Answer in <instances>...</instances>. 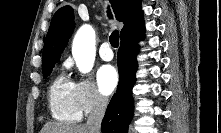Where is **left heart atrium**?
<instances>
[{
  "mask_svg": "<svg viewBox=\"0 0 221 133\" xmlns=\"http://www.w3.org/2000/svg\"><path fill=\"white\" fill-rule=\"evenodd\" d=\"M97 85L104 95H110L118 85V74L112 65H104L97 72Z\"/></svg>",
  "mask_w": 221,
  "mask_h": 133,
  "instance_id": "obj_1",
  "label": "left heart atrium"
}]
</instances>
